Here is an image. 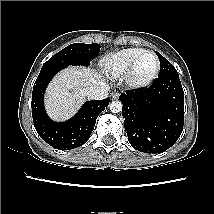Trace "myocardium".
I'll list each match as a JSON object with an SVG mask.
<instances>
[{"mask_svg":"<svg viewBox=\"0 0 214 214\" xmlns=\"http://www.w3.org/2000/svg\"><path fill=\"white\" fill-rule=\"evenodd\" d=\"M147 54L153 55L155 57L156 67L151 75L145 78H139L136 75V69L142 57ZM159 71H160V59L158 55L153 51L145 50L130 65L125 75L126 83L130 88L133 89H142L148 87L157 78Z\"/></svg>","mask_w":214,"mask_h":214,"instance_id":"myocardium-1","label":"myocardium"}]
</instances>
